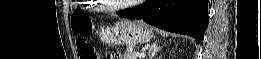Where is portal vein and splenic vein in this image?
Masks as SVG:
<instances>
[{
  "instance_id": "1",
  "label": "portal vein and splenic vein",
  "mask_w": 261,
  "mask_h": 59,
  "mask_svg": "<svg viewBox=\"0 0 261 59\" xmlns=\"http://www.w3.org/2000/svg\"><path fill=\"white\" fill-rule=\"evenodd\" d=\"M135 55L140 58H144L146 56L144 52H136Z\"/></svg>"
}]
</instances>
